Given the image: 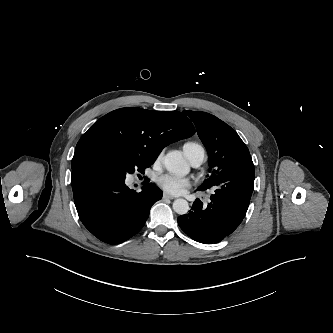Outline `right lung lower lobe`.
I'll list each match as a JSON object with an SVG mask.
<instances>
[{"mask_svg": "<svg viewBox=\"0 0 333 333\" xmlns=\"http://www.w3.org/2000/svg\"><path fill=\"white\" fill-rule=\"evenodd\" d=\"M71 184L80 220L108 244L122 243L137 234L151 206L161 199V190L154 184L136 193L126 186L125 179L82 162L72 167Z\"/></svg>", "mask_w": 333, "mask_h": 333, "instance_id": "obj_1", "label": "right lung lower lobe"}]
</instances>
